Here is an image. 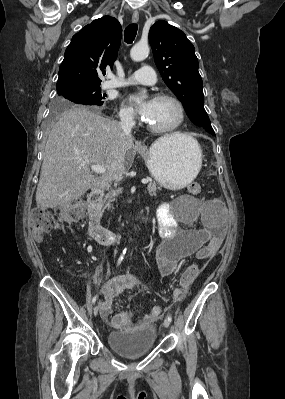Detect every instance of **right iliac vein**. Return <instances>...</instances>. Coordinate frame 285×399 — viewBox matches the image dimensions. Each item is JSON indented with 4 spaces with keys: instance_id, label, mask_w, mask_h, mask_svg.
Masks as SVG:
<instances>
[{
    "instance_id": "right-iliac-vein-1",
    "label": "right iliac vein",
    "mask_w": 285,
    "mask_h": 399,
    "mask_svg": "<svg viewBox=\"0 0 285 399\" xmlns=\"http://www.w3.org/2000/svg\"><path fill=\"white\" fill-rule=\"evenodd\" d=\"M98 312H99V306L96 305V306L94 307V309H93V314H94V316H96V315L98 314Z\"/></svg>"
}]
</instances>
